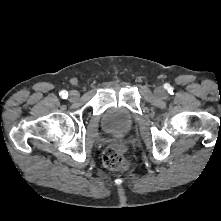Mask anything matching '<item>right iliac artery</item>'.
Masks as SVG:
<instances>
[{
    "label": "right iliac artery",
    "instance_id": "1",
    "mask_svg": "<svg viewBox=\"0 0 221 221\" xmlns=\"http://www.w3.org/2000/svg\"><path fill=\"white\" fill-rule=\"evenodd\" d=\"M60 96L63 98V99H66L68 97V93L67 91L63 90L60 92Z\"/></svg>",
    "mask_w": 221,
    "mask_h": 221
}]
</instances>
